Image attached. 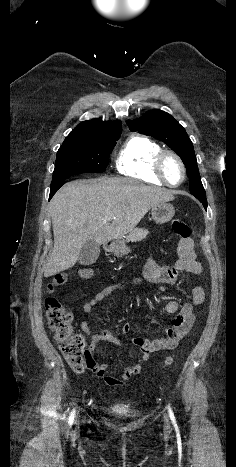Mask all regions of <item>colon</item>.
Here are the masks:
<instances>
[{
  "label": "colon",
  "instance_id": "1",
  "mask_svg": "<svg viewBox=\"0 0 236 467\" xmlns=\"http://www.w3.org/2000/svg\"><path fill=\"white\" fill-rule=\"evenodd\" d=\"M174 233L182 238L188 239L191 234L188 224L180 218L171 221ZM79 278L87 280L92 278L93 269L81 267L77 270ZM70 280L69 273L56 274L48 284V291L52 293L57 288L64 286ZM46 317L50 330L54 333L59 350L74 372H82L92 363V355L88 350L85 338L82 334L72 329L73 316L62 302L54 296L45 299ZM172 364V358L168 357L164 361V367Z\"/></svg>",
  "mask_w": 236,
  "mask_h": 467
}]
</instances>
